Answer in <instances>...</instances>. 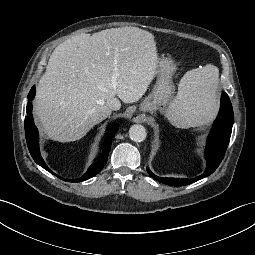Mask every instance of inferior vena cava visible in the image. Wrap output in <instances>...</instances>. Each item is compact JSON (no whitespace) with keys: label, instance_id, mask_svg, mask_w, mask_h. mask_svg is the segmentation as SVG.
Instances as JSON below:
<instances>
[{"label":"inferior vena cava","instance_id":"obj_1","mask_svg":"<svg viewBox=\"0 0 255 255\" xmlns=\"http://www.w3.org/2000/svg\"><path fill=\"white\" fill-rule=\"evenodd\" d=\"M106 105L108 106L110 110H114V111L119 110L121 107V103L117 98H112L107 100Z\"/></svg>","mask_w":255,"mask_h":255}]
</instances>
